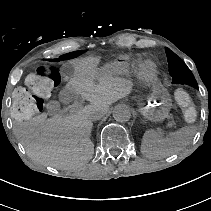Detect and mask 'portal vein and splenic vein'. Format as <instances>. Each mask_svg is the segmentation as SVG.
<instances>
[{
	"label": "portal vein and splenic vein",
	"instance_id": "obj_1",
	"mask_svg": "<svg viewBox=\"0 0 211 211\" xmlns=\"http://www.w3.org/2000/svg\"><path fill=\"white\" fill-rule=\"evenodd\" d=\"M168 126H169L170 128H175L176 130L178 129V128H177V125H176V124H173L172 122H169V123H168Z\"/></svg>",
	"mask_w": 211,
	"mask_h": 211
}]
</instances>
